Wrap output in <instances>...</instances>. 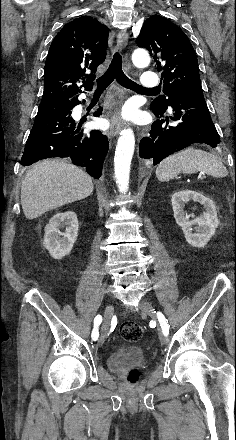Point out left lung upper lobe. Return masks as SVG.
Segmentation results:
<instances>
[{"label":"left lung upper lobe","instance_id":"5c2ea615","mask_svg":"<svg viewBox=\"0 0 236 440\" xmlns=\"http://www.w3.org/2000/svg\"><path fill=\"white\" fill-rule=\"evenodd\" d=\"M146 48L162 72L163 92L150 105L152 111L165 112L177 95L202 89L196 53L186 34L165 17L148 18L136 39Z\"/></svg>","mask_w":236,"mask_h":440}]
</instances>
